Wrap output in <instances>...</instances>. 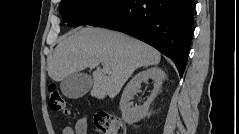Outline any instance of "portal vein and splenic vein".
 Wrapping results in <instances>:
<instances>
[{"label": "portal vein and splenic vein", "mask_w": 239, "mask_h": 134, "mask_svg": "<svg viewBox=\"0 0 239 134\" xmlns=\"http://www.w3.org/2000/svg\"><path fill=\"white\" fill-rule=\"evenodd\" d=\"M102 66H103V69L105 72H107V73L110 72V68L106 64L102 63Z\"/></svg>", "instance_id": "obj_1"}]
</instances>
